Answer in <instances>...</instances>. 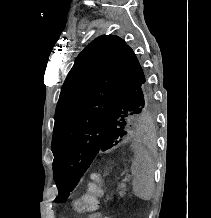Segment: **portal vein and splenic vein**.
I'll list each match as a JSON object with an SVG mask.
<instances>
[{
    "label": "portal vein and splenic vein",
    "mask_w": 211,
    "mask_h": 218,
    "mask_svg": "<svg viewBox=\"0 0 211 218\" xmlns=\"http://www.w3.org/2000/svg\"><path fill=\"white\" fill-rule=\"evenodd\" d=\"M129 172L127 171V172H124V175H127Z\"/></svg>",
    "instance_id": "obj_1"
}]
</instances>
